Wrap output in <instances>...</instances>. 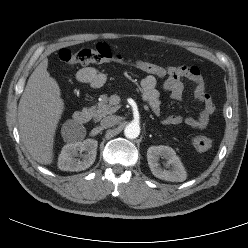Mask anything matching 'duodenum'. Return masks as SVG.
<instances>
[{"label": "duodenum", "instance_id": "obj_1", "mask_svg": "<svg viewBox=\"0 0 248 248\" xmlns=\"http://www.w3.org/2000/svg\"><path fill=\"white\" fill-rule=\"evenodd\" d=\"M73 119L78 124L87 123L90 119V112L89 110H79L74 113Z\"/></svg>", "mask_w": 248, "mask_h": 248}]
</instances>
